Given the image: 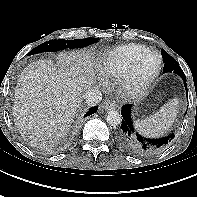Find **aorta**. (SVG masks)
Here are the masks:
<instances>
[{
	"label": "aorta",
	"mask_w": 197,
	"mask_h": 197,
	"mask_svg": "<svg viewBox=\"0 0 197 197\" xmlns=\"http://www.w3.org/2000/svg\"><path fill=\"white\" fill-rule=\"evenodd\" d=\"M106 121L111 126H117L122 122V116L118 111L111 110L106 114Z\"/></svg>",
	"instance_id": "obj_1"
}]
</instances>
